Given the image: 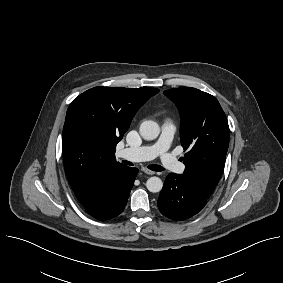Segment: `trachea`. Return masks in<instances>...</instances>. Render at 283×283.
<instances>
[{
	"label": "trachea",
	"mask_w": 283,
	"mask_h": 283,
	"mask_svg": "<svg viewBox=\"0 0 283 283\" xmlns=\"http://www.w3.org/2000/svg\"><path fill=\"white\" fill-rule=\"evenodd\" d=\"M124 163L128 164V165H133L132 163L127 162V161H125ZM148 168L150 170H152V171H157V172H160V171L164 170V168L162 166H160V165H149Z\"/></svg>",
	"instance_id": "obj_1"
}]
</instances>
